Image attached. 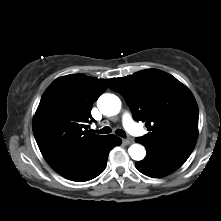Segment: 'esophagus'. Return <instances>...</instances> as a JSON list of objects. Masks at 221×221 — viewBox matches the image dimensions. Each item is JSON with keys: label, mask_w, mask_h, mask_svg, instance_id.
I'll return each mask as SVG.
<instances>
[{"label": "esophagus", "mask_w": 221, "mask_h": 221, "mask_svg": "<svg viewBox=\"0 0 221 221\" xmlns=\"http://www.w3.org/2000/svg\"><path fill=\"white\" fill-rule=\"evenodd\" d=\"M132 142H133V140L130 139V138L123 139V143H124L125 145H129V144H131Z\"/></svg>", "instance_id": "esophagus-1"}]
</instances>
